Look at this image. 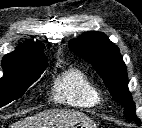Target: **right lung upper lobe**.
Instances as JSON below:
<instances>
[{
	"label": "right lung upper lobe",
	"mask_w": 142,
	"mask_h": 128,
	"mask_svg": "<svg viewBox=\"0 0 142 128\" xmlns=\"http://www.w3.org/2000/svg\"><path fill=\"white\" fill-rule=\"evenodd\" d=\"M44 46L39 43L27 42L4 56L2 67L4 76L2 79L14 78L33 64L46 61L43 53Z\"/></svg>",
	"instance_id": "1"
}]
</instances>
